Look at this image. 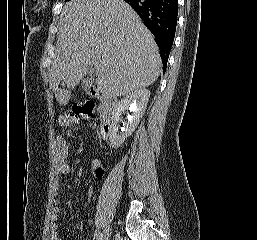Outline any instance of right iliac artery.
Wrapping results in <instances>:
<instances>
[{
  "mask_svg": "<svg viewBox=\"0 0 257 240\" xmlns=\"http://www.w3.org/2000/svg\"><path fill=\"white\" fill-rule=\"evenodd\" d=\"M99 236H100V230H99V228H97L96 230H95V232H94V237H93V239L95 240H97L98 238H99Z\"/></svg>",
  "mask_w": 257,
  "mask_h": 240,
  "instance_id": "obj_1",
  "label": "right iliac artery"
}]
</instances>
